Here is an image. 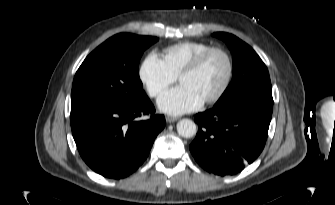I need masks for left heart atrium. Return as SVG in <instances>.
Here are the masks:
<instances>
[{
	"label": "left heart atrium",
	"mask_w": 335,
	"mask_h": 205,
	"mask_svg": "<svg viewBox=\"0 0 335 205\" xmlns=\"http://www.w3.org/2000/svg\"><path fill=\"white\" fill-rule=\"evenodd\" d=\"M202 104L203 100L183 84L166 91L158 100L159 109L171 115L191 112Z\"/></svg>",
	"instance_id": "left-heart-atrium-1"
}]
</instances>
